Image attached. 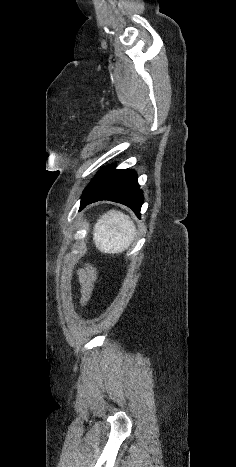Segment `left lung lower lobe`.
I'll list each match as a JSON object with an SVG mask.
<instances>
[{"mask_svg": "<svg viewBox=\"0 0 236 467\" xmlns=\"http://www.w3.org/2000/svg\"><path fill=\"white\" fill-rule=\"evenodd\" d=\"M99 200L122 203L130 207L140 217L143 193L139 189L136 172L130 169L107 168L97 174L85 188L81 197L80 210Z\"/></svg>", "mask_w": 236, "mask_h": 467, "instance_id": "0a47b994", "label": "left lung lower lobe"}]
</instances>
